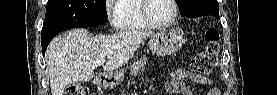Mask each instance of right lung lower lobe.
I'll return each mask as SVG.
<instances>
[{
  "instance_id": "1",
  "label": "right lung lower lobe",
  "mask_w": 277,
  "mask_h": 95,
  "mask_svg": "<svg viewBox=\"0 0 277 95\" xmlns=\"http://www.w3.org/2000/svg\"><path fill=\"white\" fill-rule=\"evenodd\" d=\"M56 34L57 33L41 36V38H42V52H43V55L46 52V49H47V46H48L49 42L56 36Z\"/></svg>"
}]
</instances>
